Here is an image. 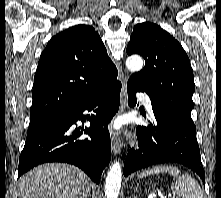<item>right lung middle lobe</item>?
Listing matches in <instances>:
<instances>
[{
    "label": "right lung middle lobe",
    "instance_id": "right-lung-middle-lobe-1",
    "mask_svg": "<svg viewBox=\"0 0 221 198\" xmlns=\"http://www.w3.org/2000/svg\"><path fill=\"white\" fill-rule=\"evenodd\" d=\"M43 121H45V120H43ZM43 121L35 122V123H30L29 128H32V127H34L35 125H37V124H39V123H41V122H43ZM29 128H28V129H29Z\"/></svg>",
    "mask_w": 221,
    "mask_h": 198
}]
</instances>
